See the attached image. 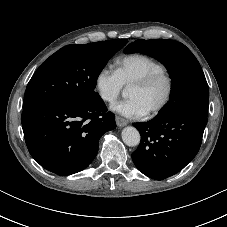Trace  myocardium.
<instances>
[{
	"mask_svg": "<svg viewBox=\"0 0 227 227\" xmlns=\"http://www.w3.org/2000/svg\"><path fill=\"white\" fill-rule=\"evenodd\" d=\"M160 79H164L166 81L167 91H166L165 97L162 100V102L156 108L147 112V115L150 117L160 114L169 105V103L172 99V96H173V92H174V79H173L172 75L166 70L157 71V72L148 74L140 79H137L133 83L130 84V86L145 88V87L152 85L154 82H156Z\"/></svg>",
	"mask_w": 227,
	"mask_h": 227,
	"instance_id": "f54148a6",
	"label": "myocardium"
}]
</instances>
